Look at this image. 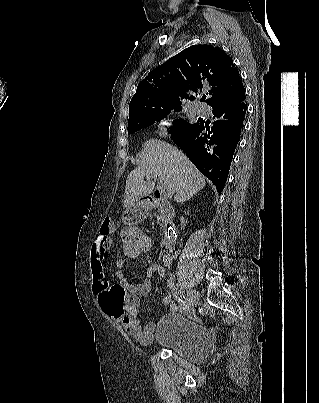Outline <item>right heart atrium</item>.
I'll list each match as a JSON object with an SVG mask.
<instances>
[{
    "label": "right heart atrium",
    "mask_w": 319,
    "mask_h": 403,
    "mask_svg": "<svg viewBox=\"0 0 319 403\" xmlns=\"http://www.w3.org/2000/svg\"><path fill=\"white\" fill-rule=\"evenodd\" d=\"M175 125L174 119L171 116L161 117L157 123V134L161 137H167L170 135Z\"/></svg>",
    "instance_id": "obj_1"
}]
</instances>
